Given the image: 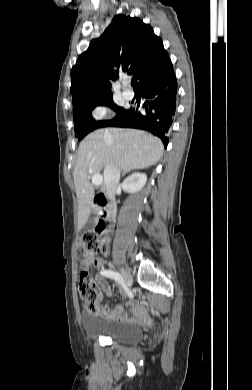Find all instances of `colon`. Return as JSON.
<instances>
[{
    "instance_id": "colon-1",
    "label": "colon",
    "mask_w": 252,
    "mask_h": 390,
    "mask_svg": "<svg viewBox=\"0 0 252 390\" xmlns=\"http://www.w3.org/2000/svg\"><path fill=\"white\" fill-rule=\"evenodd\" d=\"M107 252L105 238L97 232L86 234L79 242L77 255L81 262L95 258L97 255ZM80 291L82 297L87 301V307L90 312L99 313L100 294L90 279L88 272L80 274Z\"/></svg>"
}]
</instances>
